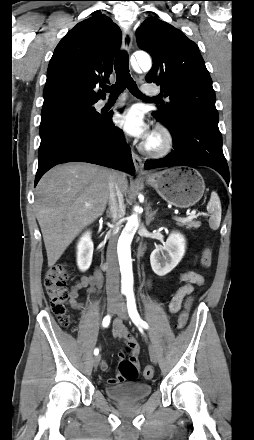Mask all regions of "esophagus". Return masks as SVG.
I'll return each instance as SVG.
<instances>
[{
  "label": "esophagus",
  "instance_id": "1",
  "mask_svg": "<svg viewBox=\"0 0 254 440\" xmlns=\"http://www.w3.org/2000/svg\"><path fill=\"white\" fill-rule=\"evenodd\" d=\"M133 35L130 30H123L122 32V46L123 49L129 51L132 47ZM132 159L136 169V172L140 175L146 174L143 169V161L140 156L132 150Z\"/></svg>",
  "mask_w": 254,
  "mask_h": 440
}]
</instances>
